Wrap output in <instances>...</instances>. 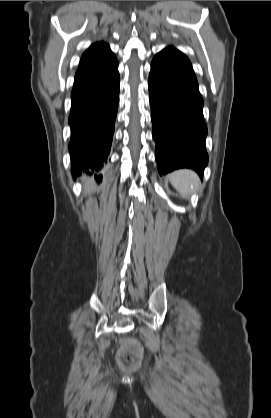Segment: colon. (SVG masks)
<instances>
[{"label": "colon", "instance_id": "colon-1", "mask_svg": "<svg viewBox=\"0 0 271 418\" xmlns=\"http://www.w3.org/2000/svg\"><path fill=\"white\" fill-rule=\"evenodd\" d=\"M141 356V346L136 341L129 340L120 349L118 362L122 368L132 369L139 365Z\"/></svg>", "mask_w": 271, "mask_h": 418}]
</instances>
